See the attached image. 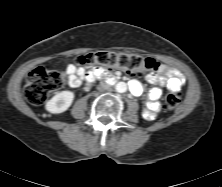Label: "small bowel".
Here are the masks:
<instances>
[{
  "instance_id": "small-bowel-1",
  "label": "small bowel",
  "mask_w": 222,
  "mask_h": 187,
  "mask_svg": "<svg viewBox=\"0 0 222 187\" xmlns=\"http://www.w3.org/2000/svg\"><path fill=\"white\" fill-rule=\"evenodd\" d=\"M66 73L69 86L74 88L79 87L88 76L84 69L74 64L67 66ZM145 79L154 87L148 91L142 115L146 120L152 121L156 118L160 109L161 87H166L170 91H179L185 84V78L180 71L166 64H161L156 71L147 73ZM130 91L134 96H141L143 94V86L139 81L133 80L130 82Z\"/></svg>"
}]
</instances>
